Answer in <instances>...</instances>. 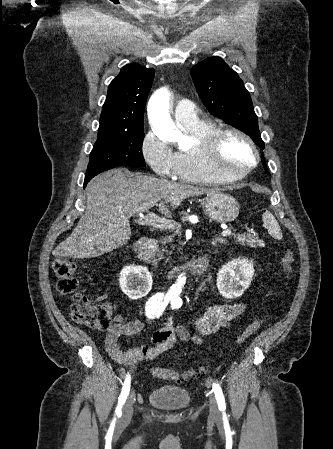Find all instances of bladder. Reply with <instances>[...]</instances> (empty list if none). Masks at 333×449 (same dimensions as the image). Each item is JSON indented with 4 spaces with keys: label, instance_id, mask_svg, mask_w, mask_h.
<instances>
[{
    "label": "bladder",
    "instance_id": "1",
    "mask_svg": "<svg viewBox=\"0 0 333 449\" xmlns=\"http://www.w3.org/2000/svg\"><path fill=\"white\" fill-rule=\"evenodd\" d=\"M191 397L187 390L173 385L155 387L148 394L149 403L162 410H179L186 408Z\"/></svg>",
    "mask_w": 333,
    "mask_h": 449
}]
</instances>
